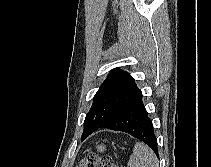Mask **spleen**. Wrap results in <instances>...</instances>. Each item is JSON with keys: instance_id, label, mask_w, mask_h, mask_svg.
Here are the masks:
<instances>
[{"instance_id": "spleen-1", "label": "spleen", "mask_w": 211, "mask_h": 167, "mask_svg": "<svg viewBox=\"0 0 211 167\" xmlns=\"http://www.w3.org/2000/svg\"><path fill=\"white\" fill-rule=\"evenodd\" d=\"M127 167H158V159L147 145L137 142Z\"/></svg>"}]
</instances>
